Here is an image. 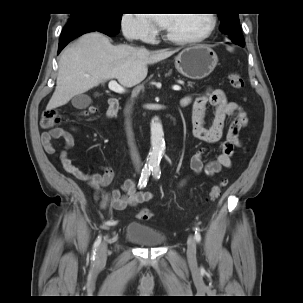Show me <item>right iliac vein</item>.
I'll return each instance as SVG.
<instances>
[{
    "mask_svg": "<svg viewBox=\"0 0 303 303\" xmlns=\"http://www.w3.org/2000/svg\"><path fill=\"white\" fill-rule=\"evenodd\" d=\"M107 259V242L103 241L97 250V259H96V263L98 265H102L106 262Z\"/></svg>",
    "mask_w": 303,
    "mask_h": 303,
    "instance_id": "1",
    "label": "right iliac vein"
}]
</instances>
